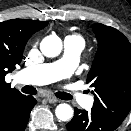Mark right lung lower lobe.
Listing matches in <instances>:
<instances>
[{
  "label": "right lung lower lobe",
  "instance_id": "right-lung-lower-lobe-1",
  "mask_svg": "<svg viewBox=\"0 0 131 131\" xmlns=\"http://www.w3.org/2000/svg\"><path fill=\"white\" fill-rule=\"evenodd\" d=\"M36 102L34 97L24 96L12 109L8 123L0 131H24Z\"/></svg>",
  "mask_w": 131,
  "mask_h": 131
}]
</instances>
